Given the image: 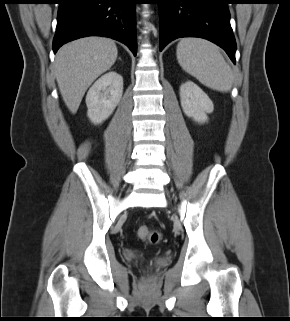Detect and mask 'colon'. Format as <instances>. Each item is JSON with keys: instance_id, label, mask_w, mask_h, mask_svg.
I'll list each match as a JSON object with an SVG mask.
<instances>
[{"instance_id": "colon-1", "label": "colon", "mask_w": 290, "mask_h": 321, "mask_svg": "<svg viewBox=\"0 0 290 321\" xmlns=\"http://www.w3.org/2000/svg\"><path fill=\"white\" fill-rule=\"evenodd\" d=\"M137 235L140 239L145 240L150 244H158L162 239V235L158 230H153L147 225L139 226Z\"/></svg>"}]
</instances>
